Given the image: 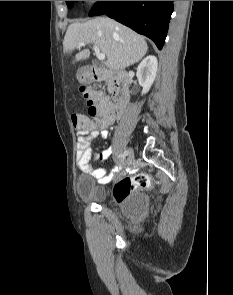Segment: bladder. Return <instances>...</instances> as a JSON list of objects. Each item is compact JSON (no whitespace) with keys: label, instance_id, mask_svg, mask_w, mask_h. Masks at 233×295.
<instances>
[{"label":"bladder","instance_id":"1","mask_svg":"<svg viewBox=\"0 0 233 295\" xmlns=\"http://www.w3.org/2000/svg\"><path fill=\"white\" fill-rule=\"evenodd\" d=\"M76 192L79 198L87 202H101L105 198L103 186L97 183L90 176H81L76 182ZM149 205V199L146 194L137 193L133 195L128 202V207L134 214H142Z\"/></svg>","mask_w":233,"mask_h":295}]
</instances>
